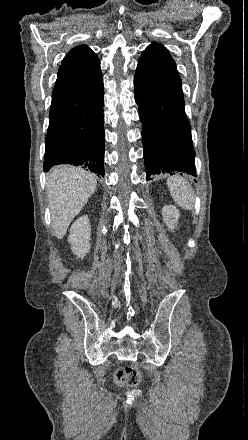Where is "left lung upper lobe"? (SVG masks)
Here are the masks:
<instances>
[{"instance_id": "5c2ea615", "label": "left lung upper lobe", "mask_w": 248, "mask_h": 440, "mask_svg": "<svg viewBox=\"0 0 248 440\" xmlns=\"http://www.w3.org/2000/svg\"><path fill=\"white\" fill-rule=\"evenodd\" d=\"M136 74L149 84L166 88L184 99L176 64L163 45L152 43L143 51Z\"/></svg>"}]
</instances>
